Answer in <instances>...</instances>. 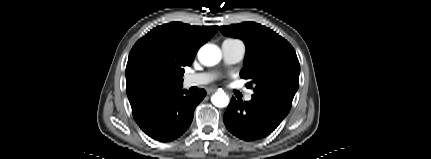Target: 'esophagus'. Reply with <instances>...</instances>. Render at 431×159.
<instances>
[{
	"mask_svg": "<svg viewBox=\"0 0 431 159\" xmlns=\"http://www.w3.org/2000/svg\"><path fill=\"white\" fill-rule=\"evenodd\" d=\"M215 91V89L214 88H209L208 90H207V93L208 94H210V93H212V92H214Z\"/></svg>",
	"mask_w": 431,
	"mask_h": 159,
	"instance_id": "1",
	"label": "esophagus"
}]
</instances>
